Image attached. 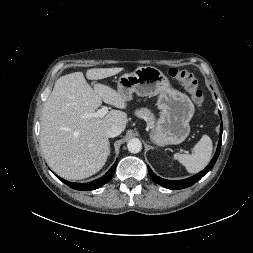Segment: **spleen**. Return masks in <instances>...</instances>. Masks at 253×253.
I'll list each match as a JSON object with an SVG mask.
<instances>
[{
    "label": "spleen",
    "mask_w": 253,
    "mask_h": 253,
    "mask_svg": "<svg viewBox=\"0 0 253 253\" xmlns=\"http://www.w3.org/2000/svg\"><path fill=\"white\" fill-rule=\"evenodd\" d=\"M212 141L209 136L203 135L194 146L192 154L176 153L174 158L178 160L189 173H197L209 163L212 155Z\"/></svg>",
    "instance_id": "3e777b00"
}]
</instances>
